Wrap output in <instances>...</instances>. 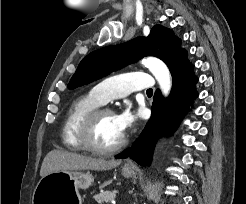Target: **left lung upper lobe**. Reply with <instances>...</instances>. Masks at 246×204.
<instances>
[{
	"mask_svg": "<svg viewBox=\"0 0 246 204\" xmlns=\"http://www.w3.org/2000/svg\"><path fill=\"white\" fill-rule=\"evenodd\" d=\"M184 52L180 48V40L170 29L155 25L148 37H138L129 42L104 47L88 54L80 62L68 88L74 89L88 84L145 56L160 58L170 70Z\"/></svg>",
	"mask_w": 246,
	"mask_h": 204,
	"instance_id": "1",
	"label": "left lung upper lobe"
}]
</instances>
